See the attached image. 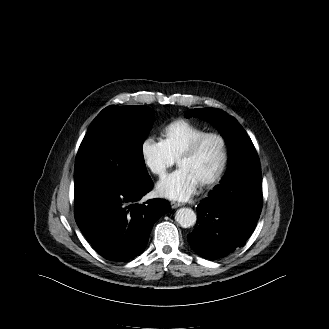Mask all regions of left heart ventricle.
Wrapping results in <instances>:
<instances>
[{"label": "left heart ventricle", "mask_w": 329, "mask_h": 329, "mask_svg": "<svg viewBox=\"0 0 329 329\" xmlns=\"http://www.w3.org/2000/svg\"><path fill=\"white\" fill-rule=\"evenodd\" d=\"M221 156L220 142L216 138H209L203 142L193 156L182 159L178 165L188 170L200 183L216 171Z\"/></svg>", "instance_id": "left-heart-ventricle-1"}]
</instances>
